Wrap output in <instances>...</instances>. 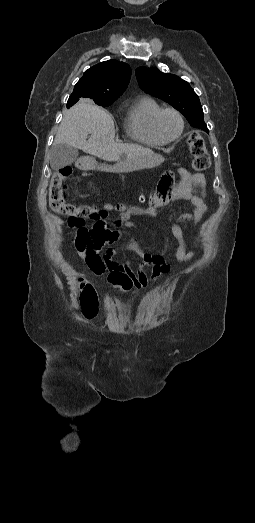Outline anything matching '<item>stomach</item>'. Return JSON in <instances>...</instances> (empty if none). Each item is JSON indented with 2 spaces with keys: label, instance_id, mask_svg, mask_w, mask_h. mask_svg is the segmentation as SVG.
<instances>
[{
  "label": "stomach",
  "instance_id": "stomach-1",
  "mask_svg": "<svg viewBox=\"0 0 255 523\" xmlns=\"http://www.w3.org/2000/svg\"><path fill=\"white\" fill-rule=\"evenodd\" d=\"M163 163L164 160L160 157L158 152L147 151L144 155V158L126 160V162H124V164H120V166H110L109 173L112 176H117L120 172H136V170H147V168L161 166Z\"/></svg>",
  "mask_w": 255,
  "mask_h": 523
}]
</instances>
